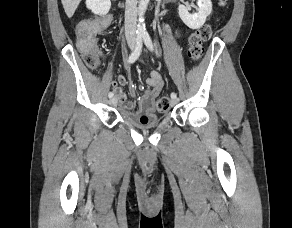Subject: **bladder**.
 <instances>
[{
  "label": "bladder",
  "mask_w": 292,
  "mask_h": 228,
  "mask_svg": "<svg viewBox=\"0 0 292 228\" xmlns=\"http://www.w3.org/2000/svg\"><path fill=\"white\" fill-rule=\"evenodd\" d=\"M123 118L131 125L138 128H150L158 125L161 121V118L154 113L147 114H129L126 113L123 115Z\"/></svg>",
  "instance_id": "1"
}]
</instances>
